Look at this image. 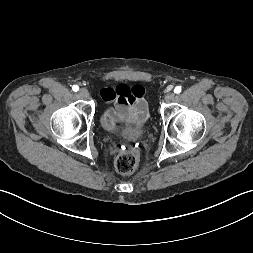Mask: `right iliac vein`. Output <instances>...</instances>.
I'll return each mask as SVG.
<instances>
[{
	"instance_id": "obj_1",
	"label": "right iliac vein",
	"mask_w": 253,
	"mask_h": 253,
	"mask_svg": "<svg viewBox=\"0 0 253 253\" xmlns=\"http://www.w3.org/2000/svg\"><path fill=\"white\" fill-rule=\"evenodd\" d=\"M79 96L83 99H87L89 97V92L86 88H81L78 92Z\"/></svg>"
}]
</instances>
